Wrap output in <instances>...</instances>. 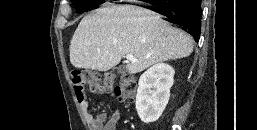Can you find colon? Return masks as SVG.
Returning a JSON list of instances; mask_svg holds the SVG:
<instances>
[{
    "label": "colon",
    "instance_id": "obj_1",
    "mask_svg": "<svg viewBox=\"0 0 257 130\" xmlns=\"http://www.w3.org/2000/svg\"><path fill=\"white\" fill-rule=\"evenodd\" d=\"M71 81L78 100L83 99L85 88L92 92H110L114 90L117 98L122 102L132 103L137 91V81L132 75H123L114 87L115 76L111 72L97 73L91 70H74Z\"/></svg>",
    "mask_w": 257,
    "mask_h": 130
}]
</instances>
